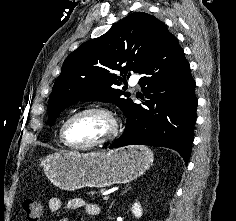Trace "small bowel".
Instances as JSON below:
<instances>
[{
  "label": "small bowel",
  "mask_w": 236,
  "mask_h": 221,
  "mask_svg": "<svg viewBox=\"0 0 236 221\" xmlns=\"http://www.w3.org/2000/svg\"><path fill=\"white\" fill-rule=\"evenodd\" d=\"M48 207L51 212L57 213L62 209L70 211L83 209L87 216H97L100 214V206L93 202H88L83 198L75 197L64 200L60 197H52L49 199ZM59 221H68L66 218H61Z\"/></svg>",
  "instance_id": "small-bowel-1"
}]
</instances>
